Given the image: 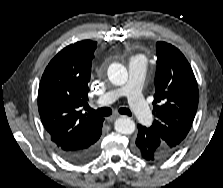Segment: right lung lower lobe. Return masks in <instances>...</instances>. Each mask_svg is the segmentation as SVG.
Listing matches in <instances>:
<instances>
[{
	"label": "right lung lower lobe",
	"mask_w": 223,
	"mask_h": 188,
	"mask_svg": "<svg viewBox=\"0 0 223 188\" xmlns=\"http://www.w3.org/2000/svg\"><path fill=\"white\" fill-rule=\"evenodd\" d=\"M102 125L93 136L89 137L79 146L54 145L55 150L65 160L74 164H85L92 161L99 152L98 139L102 133Z\"/></svg>",
	"instance_id": "98d812e1"
}]
</instances>
